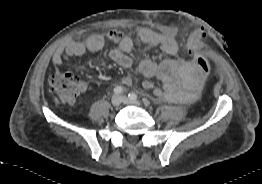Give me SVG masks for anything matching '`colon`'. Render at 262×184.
Segmentation results:
<instances>
[{
    "mask_svg": "<svg viewBox=\"0 0 262 184\" xmlns=\"http://www.w3.org/2000/svg\"><path fill=\"white\" fill-rule=\"evenodd\" d=\"M192 61L205 75L210 74L211 64L207 58L199 54H194ZM48 83L51 92L56 94L63 103L73 102L81 91V83L70 71L52 74L48 79Z\"/></svg>",
    "mask_w": 262,
    "mask_h": 184,
    "instance_id": "5ec220e1",
    "label": "colon"
}]
</instances>
